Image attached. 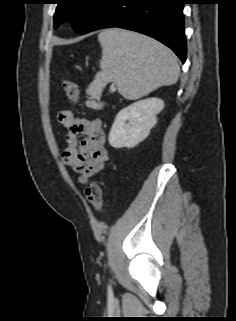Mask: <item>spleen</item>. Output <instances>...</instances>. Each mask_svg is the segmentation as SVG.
<instances>
[{
	"label": "spleen",
	"instance_id": "obj_1",
	"mask_svg": "<svg viewBox=\"0 0 236 321\" xmlns=\"http://www.w3.org/2000/svg\"><path fill=\"white\" fill-rule=\"evenodd\" d=\"M102 47L101 71L86 90L88 107L100 109L95 102L101 89L114 81L119 93L133 100L163 85L177 82L180 68L176 55L158 41L135 32L108 29L98 35Z\"/></svg>",
	"mask_w": 236,
	"mask_h": 321
}]
</instances>
